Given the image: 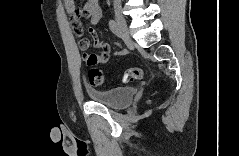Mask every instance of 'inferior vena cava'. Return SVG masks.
<instances>
[{
    "mask_svg": "<svg viewBox=\"0 0 239 156\" xmlns=\"http://www.w3.org/2000/svg\"><path fill=\"white\" fill-rule=\"evenodd\" d=\"M115 2H120V0H114Z\"/></svg>",
    "mask_w": 239,
    "mask_h": 156,
    "instance_id": "1",
    "label": "inferior vena cava"
}]
</instances>
